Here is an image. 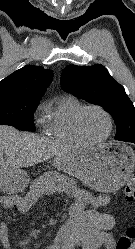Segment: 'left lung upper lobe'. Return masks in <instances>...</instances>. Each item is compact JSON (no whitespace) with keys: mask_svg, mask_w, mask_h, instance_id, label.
Wrapping results in <instances>:
<instances>
[{"mask_svg":"<svg viewBox=\"0 0 135 249\" xmlns=\"http://www.w3.org/2000/svg\"><path fill=\"white\" fill-rule=\"evenodd\" d=\"M61 85L64 91L100 105L110 113L117 127L116 140H135V107L124 87L103 65H69L61 74Z\"/></svg>","mask_w":135,"mask_h":249,"instance_id":"left-lung-upper-lobe-1","label":"left lung upper lobe"}]
</instances>
